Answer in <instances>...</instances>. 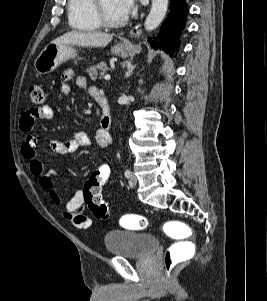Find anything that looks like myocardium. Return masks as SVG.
<instances>
[{"label":"myocardium","instance_id":"1","mask_svg":"<svg viewBox=\"0 0 267 301\" xmlns=\"http://www.w3.org/2000/svg\"><path fill=\"white\" fill-rule=\"evenodd\" d=\"M93 1H94L93 7H94L95 17L102 27L117 28V27L123 26L126 23L125 18H122L117 21L108 19L106 17V15L104 14V11L102 8V1L101 0H93Z\"/></svg>","mask_w":267,"mask_h":301}]
</instances>
